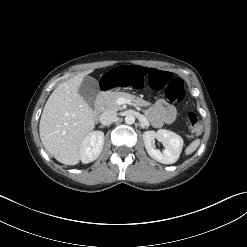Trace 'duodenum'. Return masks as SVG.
<instances>
[{"label": "duodenum", "instance_id": "410a0bca", "mask_svg": "<svg viewBox=\"0 0 247 247\" xmlns=\"http://www.w3.org/2000/svg\"><path fill=\"white\" fill-rule=\"evenodd\" d=\"M100 111V107L98 105L95 106V112H99Z\"/></svg>", "mask_w": 247, "mask_h": 247}]
</instances>
